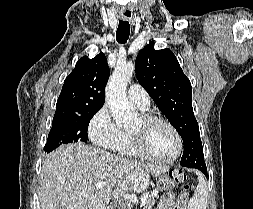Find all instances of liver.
Segmentation results:
<instances>
[{"label": "liver", "instance_id": "obj_1", "mask_svg": "<svg viewBox=\"0 0 253 209\" xmlns=\"http://www.w3.org/2000/svg\"><path fill=\"white\" fill-rule=\"evenodd\" d=\"M166 168L121 158L84 143L62 145L46 156L39 181L41 209H106L113 196L147 187ZM98 182H106L96 190ZM114 191H116L114 193Z\"/></svg>", "mask_w": 253, "mask_h": 209}]
</instances>
